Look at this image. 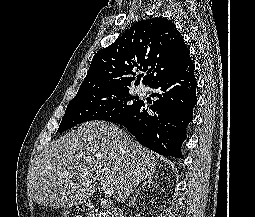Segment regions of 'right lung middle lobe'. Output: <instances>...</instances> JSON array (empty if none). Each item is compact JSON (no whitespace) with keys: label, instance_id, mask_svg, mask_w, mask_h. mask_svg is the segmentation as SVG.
Instances as JSON below:
<instances>
[{"label":"right lung middle lobe","instance_id":"dd1d6c3e","mask_svg":"<svg viewBox=\"0 0 255 217\" xmlns=\"http://www.w3.org/2000/svg\"><path fill=\"white\" fill-rule=\"evenodd\" d=\"M141 100L130 94L129 87L79 93L67 105L57 132L91 120L111 121L131 112Z\"/></svg>","mask_w":255,"mask_h":217}]
</instances>
